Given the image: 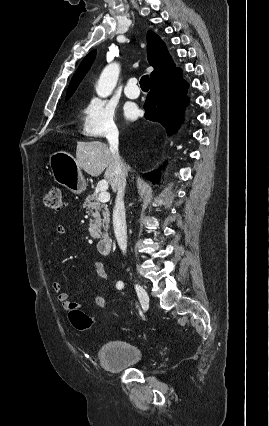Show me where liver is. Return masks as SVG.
Listing matches in <instances>:
<instances>
[{"instance_id":"1","label":"liver","mask_w":269,"mask_h":426,"mask_svg":"<svg viewBox=\"0 0 269 426\" xmlns=\"http://www.w3.org/2000/svg\"><path fill=\"white\" fill-rule=\"evenodd\" d=\"M76 161L80 168L93 177H97L105 171V180L111 185L112 190L116 191L119 174L114 156L107 144L100 141L78 142ZM127 171L126 167V175Z\"/></svg>"}]
</instances>
